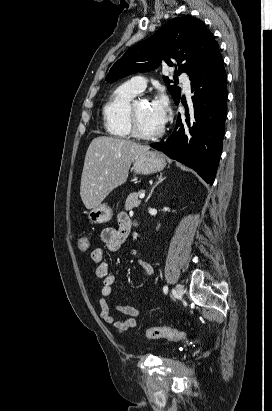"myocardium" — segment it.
<instances>
[{
    "mask_svg": "<svg viewBox=\"0 0 272 411\" xmlns=\"http://www.w3.org/2000/svg\"><path fill=\"white\" fill-rule=\"evenodd\" d=\"M140 99H134L131 101V103L129 104L128 107V124H129V128H130V133L132 136H134L135 138L138 139H142V140H155L160 138L163 133H164V127L161 126L160 129H158L157 131L153 132V133H146L143 132L138 125L137 122V117H136V112H135V105L137 103V101Z\"/></svg>",
    "mask_w": 272,
    "mask_h": 411,
    "instance_id": "myocardium-1",
    "label": "myocardium"
}]
</instances>
